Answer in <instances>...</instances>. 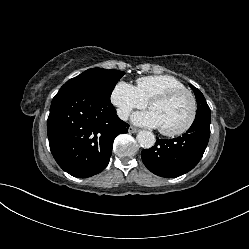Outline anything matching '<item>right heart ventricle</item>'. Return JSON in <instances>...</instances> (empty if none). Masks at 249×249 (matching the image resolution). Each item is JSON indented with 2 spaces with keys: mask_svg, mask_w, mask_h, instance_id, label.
Wrapping results in <instances>:
<instances>
[{
  "mask_svg": "<svg viewBox=\"0 0 249 249\" xmlns=\"http://www.w3.org/2000/svg\"><path fill=\"white\" fill-rule=\"evenodd\" d=\"M136 89L145 102L174 89H185L184 84L170 75H149L136 80Z\"/></svg>",
  "mask_w": 249,
  "mask_h": 249,
  "instance_id": "1",
  "label": "right heart ventricle"
}]
</instances>
